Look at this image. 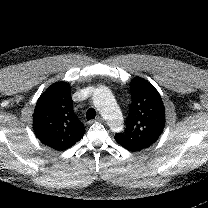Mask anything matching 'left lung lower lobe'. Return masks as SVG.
Instances as JSON below:
<instances>
[{
  "label": "left lung lower lobe",
  "instance_id": "obj_1",
  "mask_svg": "<svg viewBox=\"0 0 208 208\" xmlns=\"http://www.w3.org/2000/svg\"><path fill=\"white\" fill-rule=\"evenodd\" d=\"M121 146H123L124 148H126L127 150H129V151H140L141 149H138V148H136V147H134V146H131V145H127V144H124V143H122V142H119V141H117Z\"/></svg>",
  "mask_w": 208,
  "mask_h": 208
}]
</instances>
